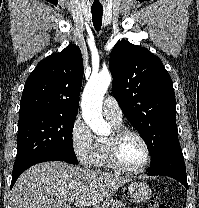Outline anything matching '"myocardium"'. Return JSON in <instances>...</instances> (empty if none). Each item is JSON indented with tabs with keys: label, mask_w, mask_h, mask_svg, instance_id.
<instances>
[{
	"label": "myocardium",
	"mask_w": 199,
	"mask_h": 208,
	"mask_svg": "<svg viewBox=\"0 0 199 208\" xmlns=\"http://www.w3.org/2000/svg\"><path fill=\"white\" fill-rule=\"evenodd\" d=\"M128 135H132L139 139L141 143L143 144L146 152V158L144 162L137 168L131 169L126 167L122 161L120 160L119 157V143L121 140ZM106 145V150H107V156L110 164L117 169L120 172L126 173V174H139L142 171H144L147 166L150 164L152 160V153L150 146L145 139V137L139 133L136 130L129 129V128H119L115 129L111 136L108 138V140L105 143Z\"/></svg>",
	"instance_id": "obj_1"
}]
</instances>
